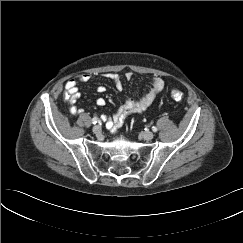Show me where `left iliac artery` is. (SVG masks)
Here are the masks:
<instances>
[{
  "instance_id": "44dca946",
  "label": "left iliac artery",
  "mask_w": 243,
  "mask_h": 243,
  "mask_svg": "<svg viewBox=\"0 0 243 243\" xmlns=\"http://www.w3.org/2000/svg\"><path fill=\"white\" fill-rule=\"evenodd\" d=\"M152 131L153 132H156L157 131V128L155 126L152 127Z\"/></svg>"
}]
</instances>
